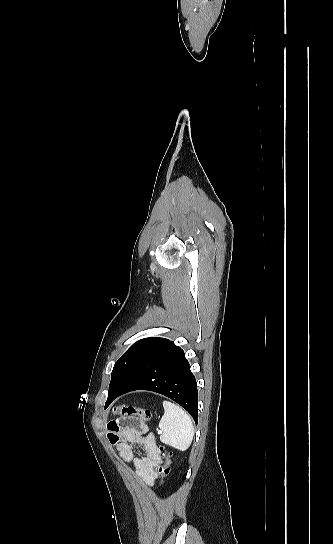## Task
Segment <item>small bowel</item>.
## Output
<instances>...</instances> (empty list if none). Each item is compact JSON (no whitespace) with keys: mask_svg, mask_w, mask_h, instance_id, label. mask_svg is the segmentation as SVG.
Wrapping results in <instances>:
<instances>
[{"mask_svg":"<svg viewBox=\"0 0 333 544\" xmlns=\"http://www.w3.org/2000/svg\"><path fill=\"white\" fill-rule=\"evenodd\" d=\"M136 422L131 418L114 420L106 426V436L114 444L121 459L132 463L137 476L147 485H151L156 478V468L162 463L161 455L156 447L152 434L147 426L140 422L138 425L126 424ZM132 444L140 446L144 453L135 457Z\"/></svg>","mask_w":333,"mask_h":544,"instance_id":"1","label":"small bowel"}]
</instances>
